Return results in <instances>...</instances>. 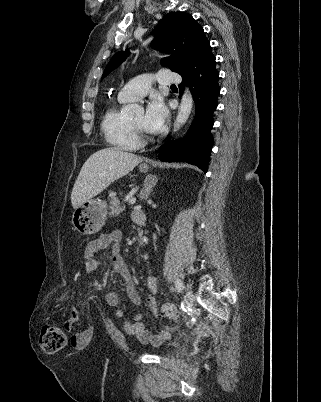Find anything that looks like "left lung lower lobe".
I'll return each instance as SVG.
<instances>
[{"label": "left lung lower lobe", "instance_id": "left-lung-lower-lobe-1", "mask_svg": "<svg viewBox=\"0 0 321 402\" xmlns=\"http://www.w3.org/2000/svg\"><path fill=\"white\" fill-rule=\"evenodd\" d=\"M180 75L184 85L190 86L195 101V118L188 134L182 140H175L162 146L159 159L164 162H187L207 172L213 145L211 129L213 112L217 107L219 72L215 68V57L206 41L194 54L190 63Z\"/></svg>", "mask_w": 321, "mask_h": 402}]
</instances>
